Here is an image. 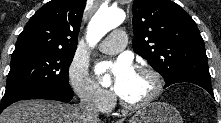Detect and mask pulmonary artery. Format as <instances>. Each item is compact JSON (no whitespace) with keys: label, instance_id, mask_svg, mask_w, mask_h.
Listing matches in <instances>:
<instances>
[{"label":"pulmonary artery","instance_id":"obj_1","mask_svg":"<svg viewBox=\"0 0 221 123\" xmlns=\"http://www.w3.org/2000/svg\"><path fill=\"white\" fill-rule=\"evenodd\" d=\"M126 41L123 30H114L99 44V49L104 53L116 54L125 48Z\"/></svg>","mask_w":221,"mask_h":123}]
</instances>
